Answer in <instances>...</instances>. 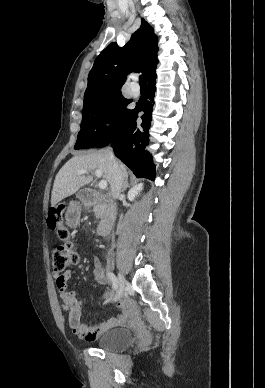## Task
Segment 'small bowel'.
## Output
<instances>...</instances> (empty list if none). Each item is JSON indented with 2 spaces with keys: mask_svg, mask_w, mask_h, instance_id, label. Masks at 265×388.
I'll return each instance as SVG.
<instances>
[{
  "mask_svg": "<svg viewBox=\"0 0 265 388\" xmlns=\"http://www.w3.org/2000/svg\"><path fill=\"white\" fill-rule=\"evenodd\" d=\"M71 277L69 270L63 274L64 284L62 288H59L60 295L62 298V306L64 311L67 313L68 324L72 332L80 339L86 341H94L106 330L119 325H129L132 322L131 313L129 310L130 304L127 299H118L117 306L120 310V314L116 317H112L107 321L99 324L88 326L81 322V311L83 303L76 297L75 291H70L67 288V282ZM93 277L98 285H105L108 282L104 268L98 257L94 258V269ZM112 298L111 289H107L103 299L104 302H108ZM59 326L64 327L63 319L59 320Z\"/></svg>",
  "mask_w": 265,
  "mask_h": 388,
  "instance_id": "obj_1",
  "label": "small bowel"
}]
</instances>
